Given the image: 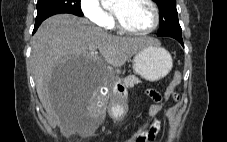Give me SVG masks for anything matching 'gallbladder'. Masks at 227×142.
<instances>
[{"instance_id":"1","label":"gallbladder","mask_w":227,"mask_h":142,"mask_svg":"<svg viewBox=\"0 0 227 142\" xmlns=\"http://www.w3.org/2000/svg\"><path fill=\"white\" fill-rule=\"evenodd\" d=\"M99 97H102V94H99ZM101 101H104V98H101ZM96 108H99V105H96ZM98 112H101V109H98Z\"/></svg>"}]
</instances>
